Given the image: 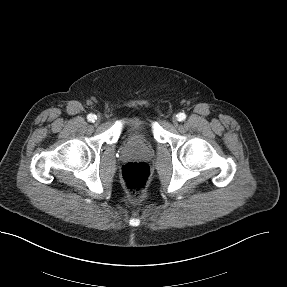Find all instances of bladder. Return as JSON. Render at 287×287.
<instances>
[{
  "label": "bladder",
  "instance_id": "31cf9c89",
  "mask_svg": "<svg viewBox=\"0 0 287 287\" xmlns=\"http://www.w3.org/2000/svg\"><path fill=\"white\" fill-rule=\"evenodd\" d=\"M131 126L135 129H147L148 123L144 119L136 118L132 121Z\"/></svg>",
  "mask_w": 287,
  "mask_h": 287
}]
</instances>
